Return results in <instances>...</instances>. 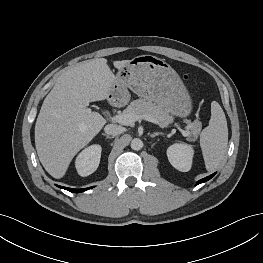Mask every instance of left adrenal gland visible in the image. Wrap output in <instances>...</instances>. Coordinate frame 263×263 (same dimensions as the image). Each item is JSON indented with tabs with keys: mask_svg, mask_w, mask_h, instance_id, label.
Segmentation results:
<instances>
[{
	"mask_svg": "<svg viewBox=\"0 0 263 263\" xmlns=\"http://www.w3.org/2000/svg\"><path fill=\"white\" fill-rule=\"evenodd\" d=\"M158 135H164L162 132H154L153 134H150L151 138H155Z\"/></svg>",
	"mask_w": 263,
	"mask_h": 263,
	"instance_id": "obj_1",
	"label": "left adrenal gland"
}]
</instances>
